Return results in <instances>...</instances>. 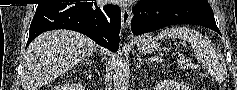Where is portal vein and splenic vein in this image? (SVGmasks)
<instances>
[{
  "instance_id": "18ae733b",
  "label": "portal vein and splenic vein",
  "mask_w": 237,
  "mask_h": 90,
  "mask_svg": "<svg viewBox=\"0 0 237 90\" xmlns=\"http://www.w3.org/2000/svg\"><path fill=\"white\" fill-rule=\"evenodd\" d=\"M179 64H181L182 68H186L187 64H185V62H179Z\"/></svg>"
}]
</instances>
